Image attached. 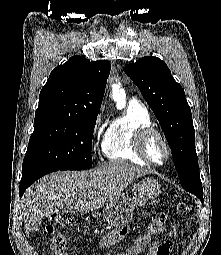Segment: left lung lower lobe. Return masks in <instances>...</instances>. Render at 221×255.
<instances>
[{"mask_svg": "<svg viewBox=\"0 0 221 255\" xmlns=\"http://www.w3.org/2000/svg\"><path fill=\"white\" fill-rule=\"evenodd\" d=\"M194 195H196L203 202V191L202 192H195Z\"/></svg>", "mask_w": 221, "mask_h": 255, "instance_id": "1", "label": "left lung lower lobe"}]
</instances>
